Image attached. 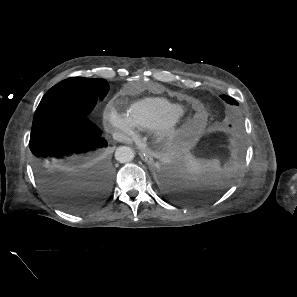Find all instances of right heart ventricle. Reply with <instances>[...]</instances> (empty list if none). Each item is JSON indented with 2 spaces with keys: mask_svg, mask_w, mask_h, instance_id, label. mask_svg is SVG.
Returning <instances> with one entry per match:
<instances>
[{
  "mask_svg": "<svg viewBox=\"0 0 297 297\" xmlns=\"http://www.w3.org/2000/svg\"><path fill=\"white\" fill-rule=\"evenodd\" d=\"M184 105L161 97H146L133 102L127 115L137 129L152 130L157 125L181 118Z\"/></svg>",
  "mask_w": 297,
  "mask_h": 297,
  "instance_id": "e07e8e85",
  "label": "right heart ventricle"
}]
</instances>
